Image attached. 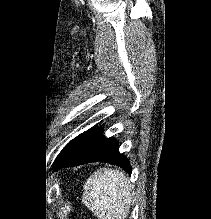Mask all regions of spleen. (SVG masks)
<instances>
[{
  "label": "spleen",
  "mask_w": 211,
  "mask_h": 219,
  "mask_svg": "<svg viewBox=\"0 0 211 219\" xmlns=\"http://www.w3.org/2000/svg\"><path fill=\"white\" fill-rule=\"evenodd\" d=\"M83 204L98 219H125L132 202L131 185L119 170L102 168L84 185Z\"/></svg>",
  "instance_id": "3e777b00"
}]
</instances>
